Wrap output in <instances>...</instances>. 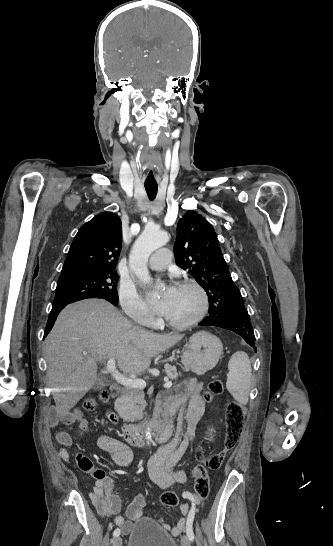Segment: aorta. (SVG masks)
Returning <instances> with one entry per match:
<instances>
[{
    "mask_svg": "<svg viewBox=\"0 0 333 546\" xmlns=\"http://www.w3.org/2000/svg\"><path fill=\"white\" fill-rule=\"evenodd\" d=\"M169 240L167 233L154 227L146 228L136 239L130 256L129 267L142 283H150L152 278L147 267L150 255L158 248L164 246ZM145 438L149 445L151 441V429L146 428Z\"/></svg>",
    "mask_w": 333,
    "mask_h": 546,
    "instance_id": "aorta-1",
    "label": "aorta"
}]
</instances>
